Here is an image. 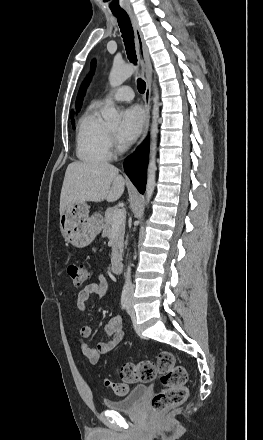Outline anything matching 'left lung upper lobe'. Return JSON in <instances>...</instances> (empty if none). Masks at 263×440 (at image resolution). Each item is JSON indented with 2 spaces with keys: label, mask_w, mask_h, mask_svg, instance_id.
<instances>
[{
  "label": "left lung upper lobe",
  "mask_w": 263,
  "mask_h": 440,
  "mask_svg": "<svg viewBox=\"0 0 263 440\" xmlns=\"http://www.w3.org/2000/svg\"><path fill=\"white\" fill-rule=\"evenodd\" d=\"M92 71L94 70V67H95V61H93L92 62ZM89 82H90V78L88 77L87 79H86V81H85V84H84V86L85 85H89ZM82 93H83V90H80V92H79V94H78V97H77V100H76V107H77V109L79 110L80 109V107H81V105H82Z\"/></svg>",
  "instance_id": "1"
}]
</instances>
